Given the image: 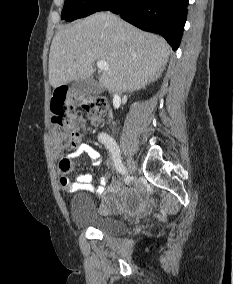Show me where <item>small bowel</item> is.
<instances>
[{
    "mask_svg": "<svg viewBox=\"0 0 233 284\" xmlns=\"http://www.w3.org/2000/svg\"><path fill=\"white\" fill-rule=\"evenodd\" d=\"M82 153L87 154L90 159V163L93 166H97L101 162V156L99 152L88 144H80L75 151L69 155L66 159L70 160L81 155ZM93 175L84 174L78 177L76 182H70L69 179L64 175H60V185L67 192H74L77 190H88L96 194H103L101 201V211L102 213H109L118 207V201L114 200L109 194L113 193L116 190V185L114 182L108 184L106 177H100V184L94 186L92 184Z\"/></svg>",
    "mask_w": 233,
    "mask_h": 284,
    "instance_id": "1",
    "label": "small bowel"
}]
</instances>
